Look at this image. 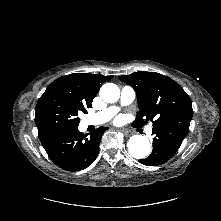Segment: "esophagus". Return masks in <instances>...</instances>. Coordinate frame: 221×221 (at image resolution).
I'll list each match as a JSON object with an SVG mask.
<instances>
[{"label": "esophagus", "mask_w": 221, "mask_h": 221, "mask_svg": "<svg viewBox=\"0 0 221 221\" xmlns=\"http://www.w3.org/2000/svg\"><path fill=\"white\" fill-rule=\"evenodd\" d=\"M125 136H130L132 135V132L131 131H128V130H121Z\"/></svg>", "instance_id": "obj_1"}]
</instances>
